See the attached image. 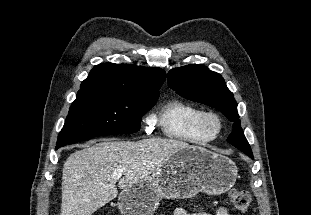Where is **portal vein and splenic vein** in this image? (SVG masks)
I'll return each mask as SVG.
<instances>
[{"label": "portal vein and splenic vein", "mask_w": 311, "mask_h": 215, "mask_svg": "<svg viewBox=\"0 0 311 215\" xmlns=\"http://www.w3.org/2000/svg\"><path fill=\"white\" fill-rule=\"evenodd\" d=\"M124 173V170H118V171H115L113 174H112V178L114 180H117L119 179Z\"/></svg>", "instance_id": "18ae733b"}]
</instances>
